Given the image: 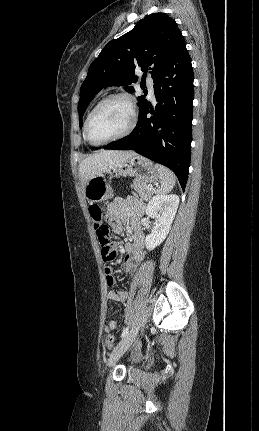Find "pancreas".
<instances>
[{
    "label": "pancreas",
    "mask_w": 259,
    "mask_h": 431,
    "mask_svg": "<svg viewBox=\"0 0 259 431\" xmlns=\"http://www.w3.org/2000/svg\"><path fill=\"white\" fill-rule=\"evenodd\" d=\"M131 188L134 189L143 200H149L153 194V192L147 188V184L140 179H135Z\"/></svg>",
    "instance_id": "1"
}]
</instances>
